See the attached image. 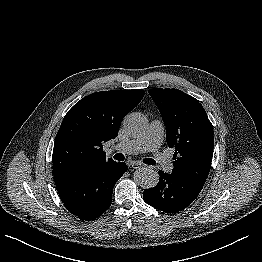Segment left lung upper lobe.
<instances>
[{"instance_id": "left-lung-upper-lobe-1", "label": "left lung upper lobe", "mask_w": 262, "mask_h": 262, "mask_svg": "<svg viewBox=\"0 0 262 262\" xmlns=\"http://www.w3.org/2000/svg\"><path fill=\"white\" fill-rule=\"evenodd\" d=\"M166 125V141L175 148L172 173L204 184L213 156V127L203 106L178 89H150Z\"/></svg>"}]
</instances>
